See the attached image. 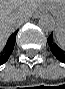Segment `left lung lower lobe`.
<instances>
[{
	"label": "left lung lower lobe",
	"mask_w": 65,
	"mask_h": 89,
	"mask_svg": "<svg viewBox=\"0 0 65 89\" xmlns=\"http://www.w3.org/2000/svg\"><path fill=\"white\" fill-rule=\"evenodd\" d=\"M48 45L51 52L56 56V58L65 63V51L60 49L56 44L53 43V35L51 34L47 39Z\"/></svg>",
	"instance_id": "1"
}]
</instances>
